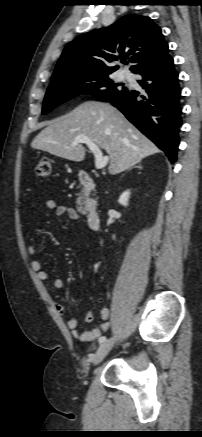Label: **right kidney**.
<instances>
[{
    "instance_id": "obj_1",
    "label": "right kidney",
    "mask_w": 202,
    "mask_h": 437,
    "mask_svg": "<svg viewBox=\"0 0 202 437\" xmlns=\"http://www.w3.org/2000/svg\"><path fill=\"white\" fill-rule=\"evenodd\" d=\"M129 195H130V191L127 190L125 192H123L118 200V202L123 205V206H127L128 205V200H129Z\"/></svg>"
}]
</instances>
